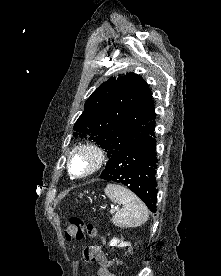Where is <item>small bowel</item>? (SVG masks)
I'll list each match as a JSON object with an SVG mask.
<instances>
[{
  "label": "small bowel",
  "instance_id": "obj_1",
  "mask_svg": "<svg viewBox=\"0 0 221 276\" xmlns=\"http://www.w3.org/2000/svg\"><path fill=\"white\" fill-rule=\"evenodd\" d=\"M83 258L85 261L90 263L97 262L100 267L97 269L98 276H115L107 268L109 260L106 258L103 250L100 246H89L83 250Z\"/></svg>",
  "mask_w": 221,
  "mask_h": 276
}]
</instances>
